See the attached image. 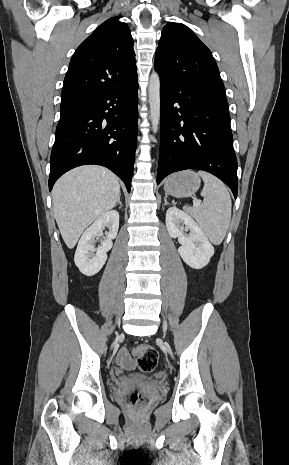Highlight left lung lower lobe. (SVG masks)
I'll return each instance as SVG.
<instances>
[{
  "instance_id": "left-lung-lower-lobe-1",
  "label": "left lung lower lobe",
  "mask_w": 289,
  "mask_h": 465,
  "mask_svg": "<svg viewBox=\"0 0 289 465\" xmlns=\"http://www.w3.org/2000/svg\"><path fill=\"white\" fill-rule=\"evenodd\" d=\"M161 139L157 184L172 172L200 169L237 198V160L225 95L161 79Z\"/></svg>"
}]
</instances>
